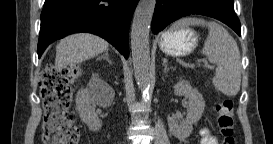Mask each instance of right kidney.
<instances>
[{
    "label": "right kidney",
    "mask_w": 273,
    "mask_h": 144,
    "mask_svg": "<svg viewBox=\"0 0 273 144\" xmlns=\"http://www.w3.org/2000/svg\"><path fill=\"white\" fill-rule=\"evenodd\" d=\"M99 83L104 87L108 85L99 78L98 75H93L88 88L80 90L76 96V109L79 111L82 122L87 124L90 130L97 131L102 127V122L95 113V109L91 106V96L93 94V84Z\"/></svg>",
    "instance_id": "obj_1"
}]
</instances>
